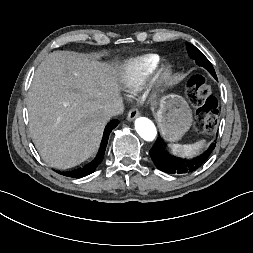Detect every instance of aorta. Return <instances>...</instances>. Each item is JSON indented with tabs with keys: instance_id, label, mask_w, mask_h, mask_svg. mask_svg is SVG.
<instances>
[{
	"instance_id": "1",
	"label": "aorta",
	"mask_w": 253,
	"mask_h": 253,
	"mask_svg": "<svg viewBox=\"0 0 253 253\" xmlns=\"http://www.w3.org/2000/svg\"><path fill=\"white\" fill-rule=\"evenodd\" d=\"M135 129L139 136L147 142L157 139L158 134L155 124L146 117H138L135 120Z\"/></svg>"
}]
</instances>
